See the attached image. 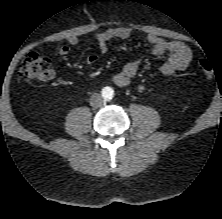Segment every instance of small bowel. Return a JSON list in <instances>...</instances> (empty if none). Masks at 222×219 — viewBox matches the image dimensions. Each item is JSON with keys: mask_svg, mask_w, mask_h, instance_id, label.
<instances>
[{"mask_svg": "<svg viewBox=\"0 0 222 219\" xmlns=\"http://www.w3.org/2000/svg\"><path fill=\"white\" fill-rule=\"evenodd\" d=\"M132 31L126 27L109 28L94 34V40L98 46L100 52L104 53L110 41L118 39L125 40L130 38ZM147 42L151 46V52L155 56H162L167 54V59L162 63L160 70L164 75H172L178 71L186 69L192 60V52L190 48L179 41L165 40L159 37L155 33H149L146 37ZM78 44V39L71 36L67 40V44L62 45L58 49V54L65 56L69 54L71 47ZM98 62V55L90 53L86 57V64L93 66ZM142 63V60L135 59L126 63L118 72H116L112 80L119 87H126L130 84L132 79L136 76L138 69ZM54 73L52 71L50 80L53 78ZM140 92L148 91V86L140 84L138 86Z\"/></svg>", "mask_w": 222, "mask_h": 219, "instance_id": "1", "label": "small bowel"}]
</instances>
